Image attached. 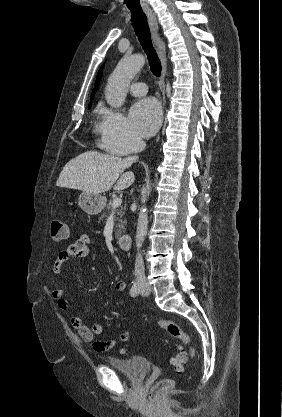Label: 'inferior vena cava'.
Returning <instances> with one entry per match:
<instances>
[{"label":"inferior vena cava","mask_w":282,"mask_h":417,"mask_svg":"<svg viewBox=\"0 0 282 417\" xmlns=\"http://www.w3.org/2000/svg\"><path fill=\"white\" fill-rule=\"evenodd\" d=\"M145 146L146 142H144L142 138H136L134 142V152H140V150H143ZM137 158L138 156H128V160H130V162H135ZM134 277L135 281H138V283H143L146 279L144 261L141 253H137V257L135 259Z\"/></svg>","instance_id":"602c4592"}]
</instances>
